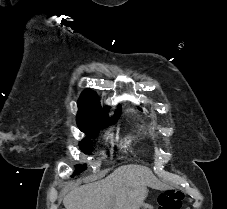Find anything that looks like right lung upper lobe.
<instances>
[{
  "instance_id": "1",
  "label": "right lung upper lobe",
  "mask_w": 227,
  "mask_h": 209,
  "mask_svg": "<svg viewBox=\"0 0 227 209\" xmlns=\"http://www.w3.org/2000/svg\"><path fill=\"white\" fill-rule=\"evenodd\" d=\"M78 107L77 120L88 117H100L108 120L107 112L101 107L97 94L90 89L82 92L78 100ZM120 114L121 108L117 109L115 115L109 120L118 119Z\"/></svg>"
}]
</instances>
